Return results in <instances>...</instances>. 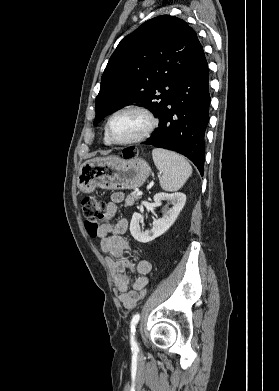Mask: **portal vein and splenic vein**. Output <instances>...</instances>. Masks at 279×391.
Wrapping results in <instances>:
<instances>
[{
    "mask_svg": "<svg viewBox=\"0 0 279 391\" xmlns=\"http://www.w3.org/2000/svg\"><path fill=\"white\" fill-rule=\"evenodd\" d=\"M142 191H137V195H142Z\"/></svg>",
    "mask_w": 279,
    "mask_h": 391,
    "instance_id": "obj_1",
    "label": "portal vein and splenic vein"
}]
</instances>
